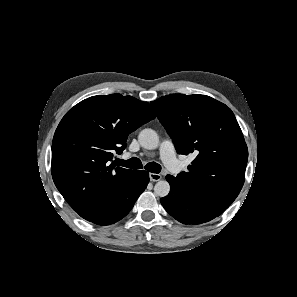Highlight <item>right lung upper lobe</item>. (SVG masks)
Here are the masks:
<instances>
[{"mask_svg":"<svg viewBox=\"0 0 297 297\" xmlns=\"http://www.w3.org/2000/svg\"><path fill=\"white\" fill-rule=\"evenodd\" d=\"M149 103L121 94L98 95L75 105L59 123L52 142L53 181L84 219L93 218L134 170L113 165L128 135L153 120Z\"/></svg>","mask_w":297,"mask_h":297,"instance_id":"obj_1","label":"right lung upper lobe"}]
</instances>
